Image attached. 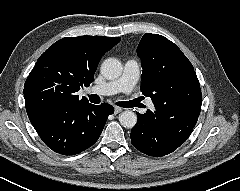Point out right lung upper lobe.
<instances>
[{"mask_svg":"<svg viewBox=\"0 0 240 191\" xmlns=\"http://www.w3.org/2000/svg\"><path fill=\"white\" fill-rule=\"evenodd\" d=\"M120 37H65L51 45L37 60L24 85L27 114L57 105L89 103L77 91L94 81L101 57Z\"/></svg>","mask_w":240,"mask_h":191,"instance_id":"obj_1","label":"right lung upper lobe"}]
</instances>
